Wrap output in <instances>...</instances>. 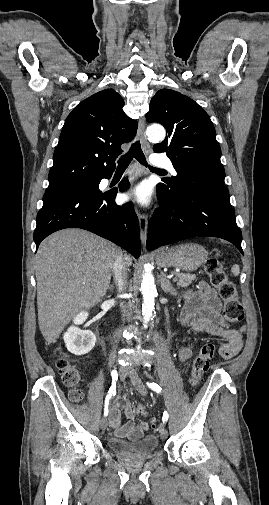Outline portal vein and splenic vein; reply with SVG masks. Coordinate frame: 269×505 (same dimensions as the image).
I'll use <instances>...</instances> for the list:
<instances>
[{"instance_id": "1", "label": "portal vein and splenic vein", "mask_w": 269, "mask_h": 505, "mask_svg": "<svg viewBox=\"0 0 269 505\" xmlns=\"http://www.w3.org/2000/svg\"><path fill=\"white\" fill-rule=\"evenodd\" d=\"M167 278H171L170 276H168ZM174 280H177V278H174Z\"/></svg>"}]
</instances>
